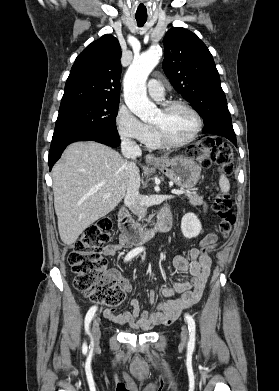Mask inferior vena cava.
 <instances>
[{
    "mask_svg": "<svg viewBox=\"0 0 279 391\" xmlns=\"http://www.w3.org/2000/svg\"><path fill=\"white\" fill-rule=\"evenodd\" d=\"M122 153L127 159L134 160L141 156L142 151L136 142L129 138H123L121 142ZM127 175V190L124 203L129 207L132 213L138 216L139 220H143L147 214V208L139 194L140 175L136 164L133 161L126 162Z\"/></svg>",
    "mask_w": 279,
    "mask_h": 391,
    "instance_id": "602c4592",
    "label": "inferior vena cava"
}]
</instances>
